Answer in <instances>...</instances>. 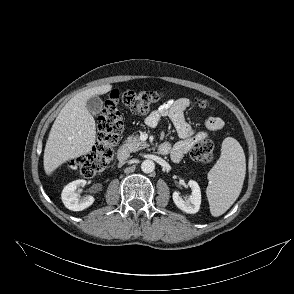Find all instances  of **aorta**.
<instances>
[{
    "mask_svg": "<svg viewBox=\"0 0 294 294\" xmlns=\"http://www.w3.org/2000/svg\"><path fill=\"white\" fill-rule=\"evenodd\" d=\"M155 169V163L152 160L146 159L141 163V170L144 173H151Z\"/></svg>",
    "mask_w": 294,
    "mask_h": 294,
    "instance_id": "1",
    "label": "aorta"
}]
</instances>
